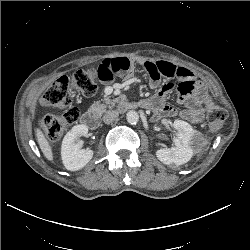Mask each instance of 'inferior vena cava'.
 <instances>
[{
    "mask_svg": "<svg viewBox=\"0 0 250 250\" xmlns=\"http://www.w3.org/2000/svg\"><path fill=\"white\" fill-rule=\"evenodd\" d=\"M119 116V113L115 110L108 111L103 116V121L105 124H110L114 122Z\"/></svg>",
    "mask_w": 250,
    "mask_h": 250,
    "instance_id": "inferior-vena-cava-1",
    "label": "inferior vena cava"
}]
</instances>
